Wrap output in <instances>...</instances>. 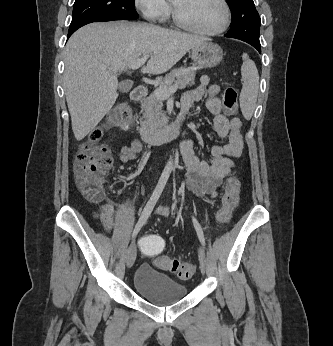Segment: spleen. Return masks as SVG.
<instances>
[{
	"label": "spleen",
	"mask_w": 333,
	"mask_h": 346,
	"mask_svg": "<svg viewBox=\"0 0 333 346\" xmlns=\"http://www.w3.org/2000/svg\"><path fill=\"white\" fill-rule=\"evenodd\" d=\"M242 59L241 75L243 87L239 101L244 117L250 119L256 107L259 90V74L255 63L250 60L246 53L242 55Z\"/></svg>",
	"instance_id": "3e777b00"
}]
</instances>
